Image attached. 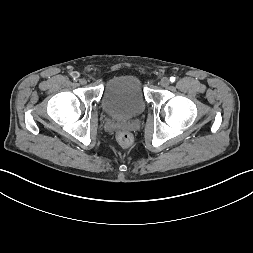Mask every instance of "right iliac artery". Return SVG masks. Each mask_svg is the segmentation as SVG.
Listing matches in <instances>:
<instances>
[{
  "mask_svg": "<svg viewBox=\"0 0 253 253\" xmlns=\"http://www.w3.org/2000/svg\"><path fill=\"white\" fill-rule=\"evenodd\" d=\"M72 77L74 80H77V78L79 77V74H73Z\"/></svg>",
  "mask_w": 253,
  "mask_h": 253,
  "instance_id": "82829eb1",
  "label": "right iliac artery"
}]
</instances>
